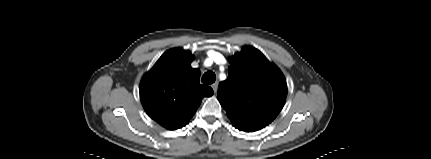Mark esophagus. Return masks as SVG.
Here are the masks:
<instances>
[{
	"mask_svg": "<svg viewBox=\"0 0 431 159\" xmlns=\"http://www.w3.org/2000/svg\"><path fill=\"white\" fill-rule=\"evenodd\" d=\"M212 89H213L214 93H216V92H217V89H218V82H215V83H213V84H212Z\"/></svg>",
	"mask_w": 431,
	"mask_h": 159,
	"instance_id": "esophagus-1",
	"label": "esophagus"
}]
</instances>
